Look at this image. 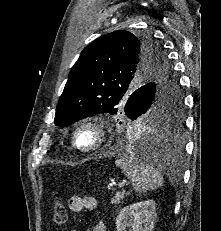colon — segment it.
Returning <instances> with one entry per match:
<instances>
[{
  "label": "colon",
  "mask_w": 221,
  "mask_h": 231,
  "mask_svg": "<svg viewBox=\"0 0 221 231\" xmlns=\"http://www.w3.org/2000/svg\"><path fill=\"white\" fill-rule=\"evenodd\" d=\"M53 223L56 225H62L67 218L66 207L62 201L60 192L55 194V200L53 205Z\"/></svg>",
  "instance_id": "1"
}]
</instances>
